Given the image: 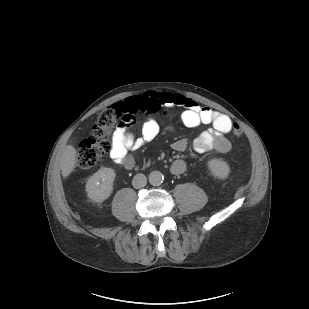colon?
I'll return each instance as SVG.
<instances>
[{"instance_id":"colon-1","label":"colon","mask_w":309,"mask_h":309,"mask_svg":"<svg viewBox=\"0 0 309 309\" xmlns=\"http://www.w3.org/2000/svg\"><path fill=\"white\" fill-rule=\"evenodd\" d=\"M135 119L123 102L116 103L104 109L97 117L91 135L84 138L78 146L76 167L89 169L94 167L101 158L111 149L110 132L112 130L133 126ZM236 136H241L243 131L239 124H233Z\"/></svg>"}]
</instances>
